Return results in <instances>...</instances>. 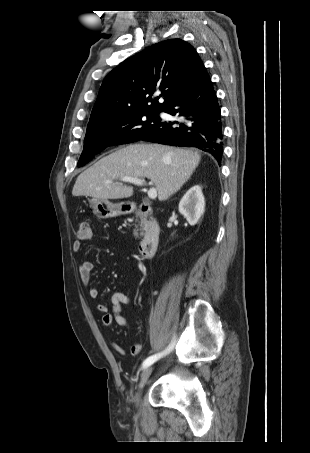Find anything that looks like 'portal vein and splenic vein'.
<instances>
[{
  "instance_id": "18ae733b",
  "label": "portal vein and splenic vein",
  "mask_w": 310,
  "mask_h": 453,
  "mask_svg": "<svg viewBox=\"0 0 310 453\" xmlns=\"http://www.w3.org/2000/svg\"><path fill=\"white\" fill-rule=\"evenodd\" d=\"M121 181L123 182H129V183H132V184H135V185H138V186H143L145 184V180L144 179H141V178H133V177H121L120 178ZM107 184L109 183H112L111 180L109 181H106ZM148 197L152 200L156 199L157 197V191L155 188H150L149 191H148Z\"/></svg>"
}]
</instances>
